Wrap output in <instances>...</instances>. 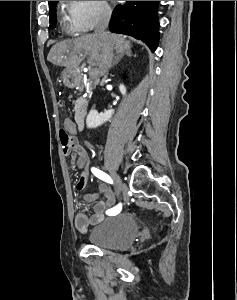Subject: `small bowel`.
<instances>
[{"label":"small bowel","instance_id":"small-bowel-1","mask_svg":"<svg viewBox=\"0 0 237 300\" xmlns=\"http://www.w3.org/2000/svg\"><path fill=\"white\" fill-rule=\"evenodd\" d=\"M64 130L70 134H76L78 131L76 124L71 119H65ZM64 154L70 156L73 164L80 169L81 175L76 183V190L83 192L89 176L87 171L88 152L81 145L77 144L74 149L64 151ZM82 198L85 202L93 203V206L92 214H88L84 210L76 212L74 224L80 232H85L90 225L100 222L116 203V195L106 183H100L98 190L94 193L83 192Z\"/></svg>","mask_w":237,"mask_h":300}]
</instances>
